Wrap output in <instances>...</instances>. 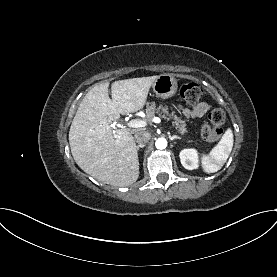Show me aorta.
Segmentation results:
<instances>
[{
	"mask_svg": "<svg viewBox=\"0 0 277 277\" xmlns=\"http://www.w3.org/2000/svg\"><path fill=\"white\" fill-rule=\"evenodd\" d=\"M157 149H165L167 147V140L165 138H158L155 142Z\"/></svg>",
	"mask_w": 277,
	"mask_h": 277,
	"instance_id": "1",
	"label": "aorta"
}]
</instances>
